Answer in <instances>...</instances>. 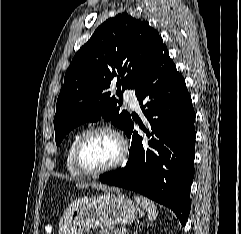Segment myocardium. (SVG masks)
<instances>
[{"label":"myocardium","mask_w":241,"mask_h":234,"mask_svg":"<svg viewBox=\"0 0 241 234\" xmlns=\"http://www.w3.org/2000/svg\"><path fill=\"white\" fill-rule=\"evenodd\" d=\"M98 133H109L112 136H114L120 144V154L117 160L111 165L97 169V170H90L83 165L81 153H82L83 146L85 145L87 140L91 138L93 135ZM127 157H128V145L126 140L118 131H116L115 129L109 126H97L84 132L78 139L73 152V160H74V165L76 169L82 175L89 176V177L99 176V175L111 172L113 170H116L117 168L121 167L125 163Z\"/></svg>","instance_id":"obj_1"}]
</instances>
